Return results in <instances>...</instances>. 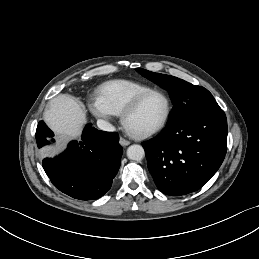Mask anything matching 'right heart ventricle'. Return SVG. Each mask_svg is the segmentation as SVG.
I'll return each instance as SVG.
<instances>
[{
	"label": "right heart ventricle",
	"instance_id": "e07e8e85",
	"mask_svg": "<svg viewBox=\"0 0 259 259\" xmlns=\"http://www.w3.org/2000/svg\"><path fill=\"white\" fill-rule=\"evenodd\" d=\"M150 89V86L136 81L113 80L101 86L99 98L113 115L119 116L135 97Z\"/></svg>",
	"mask_w": 259,
	"mask_h": 259
}]
</instances>
